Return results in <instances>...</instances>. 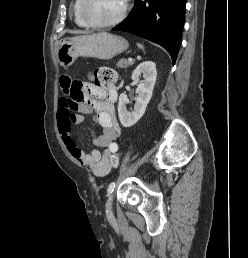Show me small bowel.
I'll return each instance as SVG.
<instances>
[{"label":"small bowel","instance_id":"c3829d8e","mask_svg":"<svg viewBox=\"0 0 248 258\" xmlns=\"http://www.w3.org/2000/svg\"><path fill=\"white\" fill-rule=\"evenodd\" d=\"M60 85L63 96L59 100L58 127L70 155L82 165L91 168L95 176H105L112 169L111 159L118 152L117 139L121 128L115 114L118 92L114 86L103 87L99 85H88L86 93L76 99L79 95L78 82L70 78H62ZM78 109L80 113H74ZM96 113L101 133L92 136L95 149L85 153L77 145L73 136V126L84 121L83 113Z\"/></svg>","mask_w":248,"mask_h":258}]
</instances>
